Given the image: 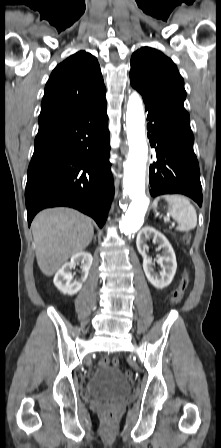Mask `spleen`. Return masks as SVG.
<instances>
[{
	"label": "spleen",
	"instance_id": "3e777b00",
	"mask_svg": "<svg viewBox=\"0 0 221 448\" xmlns=\"http://www.w3.org/2000/svg\"><path fill=\"white\" fill-rule=\"evenodd\" d=\"M160 198L165 199L168 204V212L178 222L177 231L186 232L194 229L197 225V213L188 198L181 195H163L156 198L153 207L156 209Z\"/></svg>",
	"mask_w": 221,
	"mask_h": 448
}]
</instances>
